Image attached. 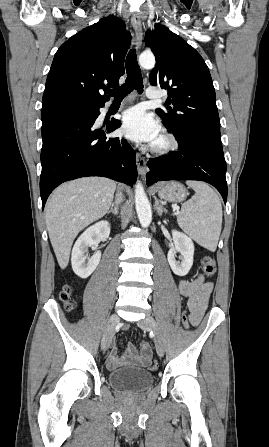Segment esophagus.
<instances>
[{"label":"esophagus","instance_id":"esophagus-1","mask_svg":"<svg viewBox=\"0 0 269 447\" xmlns=\"http://www.w3.org/2000/svg\"><path fill=\"white\" fill-rule=\"evenodd\" d=\"M131 25L136 35V47L139 49L142 44L143 29L139 15H132ZM136 165L139 175L144 178L146 175V159L139 153H136Z\"/></svg>","mask_w":269,"mask_h":447}]
</instances>
